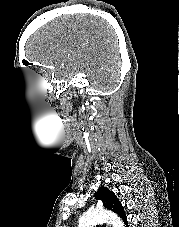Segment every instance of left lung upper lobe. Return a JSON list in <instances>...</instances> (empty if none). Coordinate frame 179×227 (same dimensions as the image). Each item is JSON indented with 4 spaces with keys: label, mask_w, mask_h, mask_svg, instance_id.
Returning a JSON list of instances; mask_svg holds the SVG:
<instances>
[{
    "label": "left lung upper lobe",
    "mask_w": 179,
    "mask_h": 227,
    "mask_svg": "<svg viewBox=\"0 0 179 227\" xmlns=\"http://www.w3.org/2000/svg\"><path fill=\"white\" fill-rule=\"evenodd\" d=\"M95 198L102 200L103 206L114 213H117L120 218L127 223V217L124 212L123 206L116 195L107 187H100L95 193Z\"/></svg>",
    "instance_id": "left-lung-upper-lobe-1"
}]
</instances>
